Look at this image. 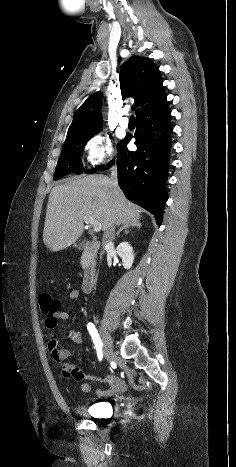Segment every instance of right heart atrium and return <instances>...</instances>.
Listing matches in <instances>:
<instances>
[{
  "mask_svg": "<svg viewBox=\"0 0 236 467\" xmlns=\"http://www.w3.org/2000/svg\"><path fill=\"white\" fill-rule=\"evenodd\" d=\"M84 150L90 166H101L113 156L112 138L102 132H97L85 142Z\"/></svg>",
  "mask_w": 236,
  "mask_h": 467,
  "instance_id": "obj_1",
  "label": "right heart atrium"
}]
</instances>
